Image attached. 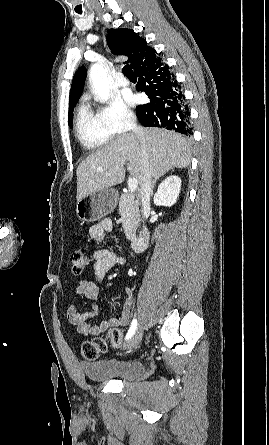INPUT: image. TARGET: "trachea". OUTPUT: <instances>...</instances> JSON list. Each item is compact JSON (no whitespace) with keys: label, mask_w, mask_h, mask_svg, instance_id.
<instances>
[{"label":"trachea","mask_w":269,"mask_h":445,"mask_svg":"<svg viewBox=\"0 0 269 445\" xmlns=\"http://www.w3.org/2000/svg\"><path fill=\"white\" fill-rule=\"evenodd\" d=\"M123 74L127 77H134L135 73L133 72V70L131 69L130 65H125L122 69Z\"/></svg>","instance_id":"trachea-1"}]
</instances>
